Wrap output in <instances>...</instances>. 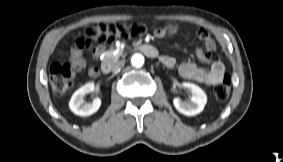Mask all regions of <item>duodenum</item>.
Here are the masks:
<instances>
[{
  "label": "duodenum",
  "instance_id": "duodenum-1",
  "mask_svg": "<svg viewBox=\"0 0 283 162\" xmlns=\"http://www.w3.org/2000/svg\"><path fill=\"white\" fill-rule=\"evenodd\" d=\"M139 49L144 53L146 54L147 56L149 57H157L158 56V51L157 49L151 45V44H147V43H144V44H141L138 46ZM112 63L109 62V61H104L102 64H101V69L103 71V73H108L111 69H112Z\"/></svg>",
  "mask_w": 283,
  "mask_h": 162
}]
</instances>
